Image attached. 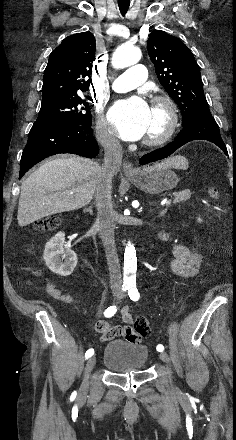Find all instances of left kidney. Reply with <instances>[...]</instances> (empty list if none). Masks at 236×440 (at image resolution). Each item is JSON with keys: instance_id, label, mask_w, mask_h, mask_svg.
Segmentation results:
<instances>
[{"instance_id": "left-kidney-1", "label": "left kidney", "mask_w": 236, "mask_h": 440, "mask_svg": "<svg viewBox=\"0 0 236 440\" xmlns=\"http://www.w3.org/2000/svg\"><path fill=\"white\" fill-rule=\"evenodd\" d=\"M197 221H198V222H202V219H201V218H197Z\"/></svg>"}]
</instances>
